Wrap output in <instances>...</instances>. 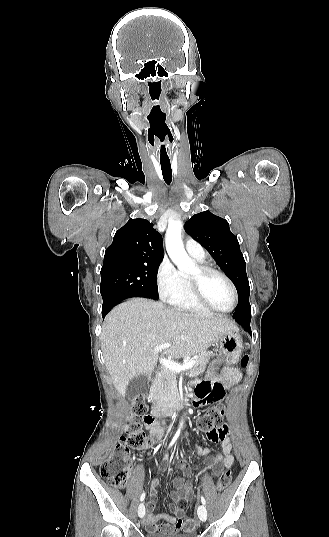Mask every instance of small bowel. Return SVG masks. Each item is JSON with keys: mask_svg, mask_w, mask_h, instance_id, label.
Returning a JSON list of instances; mask_svg holds the SVG:
<instances>
[{"mask_svg": "<svg viewBox=\"0 0 329 537\" xmlns=\"http://www.w3.org/2000/svg\"><path fill=\"white\" fill-rule=\"evenodd\" d=\"M210 376H213L211 373ZM240 372L238 369H230L228 374V382L230 384L237 383L240 380ZM229 390H226V385L220 381H216L215 377H204L203 381H197L195 387L192 390V395L194 397L193 408L196 411H202L206 406L213 405L216 406L219 404L220 400L227 398ZM146 428L149 432L153 433L158 430L155 423H150L146 425ZM206 437L209 441L218 444L220 443L221 453L215 456L208 457L206 459V464L210 467H216L221 464L225 469H229L233 462L234 456L232 452V443L228 437V427L224 426L221 430H211L206 434ZM194 451L200 455H208L210 450L208 448H194ZM182 475L174 478L173 485L176 488V491L170 493V497L173 501L169 505V509L172 511L174 516L162 513L155 514L153 511L156 507L155 497L157 494V487L159 485L158 481H153L151 484L150 495L151 500L147 502V515L144 519V526L148 532H158V533H175L182 530L183 526L181 524V519L184 514L183 507L187 505L188 501L194 497V487L190 480L192 475L191 468L183 463L181 464ZM219 470L214 468L213 474L217 475ZM163 520L164 524H159V521Z\"/></svg>", "mask_w": 329, "mask_h": 537, "instance_id": "1", "label": "small bowel"}]
</instances>
